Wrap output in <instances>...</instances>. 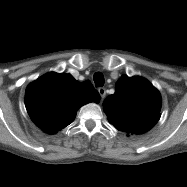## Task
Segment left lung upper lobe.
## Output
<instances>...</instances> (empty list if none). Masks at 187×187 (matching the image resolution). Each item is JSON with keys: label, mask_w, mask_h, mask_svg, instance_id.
Listing matches in <instances>:
<instances>
[{"label": "left lung upper lobe", "mask_w": 187, "mask_h": 187, "mask_svg": "<svg viewBox=\"0 0 187 187\" xmlns=\"http://www.w3.org/2000/svg\"><path fill=\"white\" fill-rule=\"evenodd\" d=\"M115 88V93L103 102L111 124L126 133L141 134L157 123L161 96L148 80L123 75Z\"/></svg>", "instance_id": "obj_1"}]
</instances>
